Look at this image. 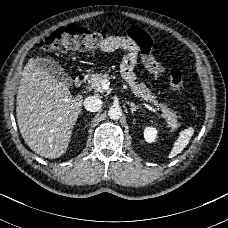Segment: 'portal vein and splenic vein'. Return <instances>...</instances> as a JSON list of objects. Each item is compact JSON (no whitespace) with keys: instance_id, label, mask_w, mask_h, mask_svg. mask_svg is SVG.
Segmentation results:
<instances>
[{"instance_id":"1","label":"portal vein and splenic vein","mask_w":228,"mask_h":228,"mask_svg":"<svg viewBox=\"0 0 228 228\" xmlns=\"http://www.w3.org/2000/svg\"><path fill=\"white\" fill-rule=\"evenodd\" d=\"M101 89H102V90H108V89H109V82H108L107 80H103V81L101 82ZM141 104H142L146 109H148V110H150V111H152V112H154V113H160V112L158 111V109L152 107L151 105H149V104H147V103H145V102H141Z\"/></svg>"}]
</instances>
